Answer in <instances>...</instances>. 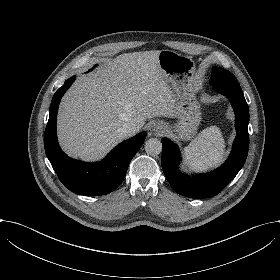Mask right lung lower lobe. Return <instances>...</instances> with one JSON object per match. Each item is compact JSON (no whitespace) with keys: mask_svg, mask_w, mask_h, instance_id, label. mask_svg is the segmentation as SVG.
Returning a JSON list of instances; mask_svg holds the SVG:
<instances>
[{"mask_svg":"<svg viewBox=\"0 0 280 280\" xmlns=\"http://www.w3.org/2000/svg\"><path fill=\"white\" fill-rule=\"evenodd\" d=\"M74 80L75 77L66 80L52 98L44 133L45 152L60 181L70 191L88 196L108 194L123 181L131 159L144 143L146 133L141 132L122 142L101 162L85 163L68 157L57 141L56 118L60 100Z\"/></svg>","mask_w":280,"mask_h":280,"instance_id":"obj_1","label":"right lung lower lobe"}]
</instances>
